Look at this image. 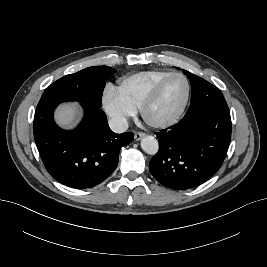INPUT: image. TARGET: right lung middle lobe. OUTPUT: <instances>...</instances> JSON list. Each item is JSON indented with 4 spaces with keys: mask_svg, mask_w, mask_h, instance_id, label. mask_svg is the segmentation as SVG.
Returning <instances> with one entry per match:
<instances>
[{
    "mask_svg": "<svg viewBox=\"0 0 267 267\" xmlns=\"http://www.w3.org/2000/svg\"><path fill=\"white\" fill-rule=\"evenodd\" d=\"M115 72V69L107 66L89 67L55 81L46 88L44 95L62 96L100 108L105 83Z\"/></svg>",
    "mask_w": 267,
    "mask_h": 267,
    "instance_id": "dd1d6c3e",
    "label": "right lung middle lobe"
}]
</instances>
